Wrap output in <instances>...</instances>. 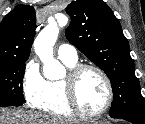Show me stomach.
Masks as SVG:
<instances>
[{
    "label": "stomach",
    "instance_id": "stomach-1",
    "mask_svg": "<svg viewBox=\"0 0 145 124\" xmlns=\"http://www.w3.org/2000/svg\"><path fill=\"white\" fill-rule=\"evenodd\" d=\"M81 124H105L103 121H96V120H91V121H86Z\"/></svg>",
    "mask_w": 145,
    "mask_h": 124
}]
</instances>
